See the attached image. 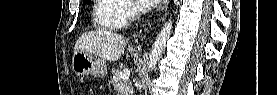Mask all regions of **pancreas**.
I'll list each match as a JSON object with an SVG mask.
<instances>
[{
	"mask_svg": "<svg viewBox=\"0 0 277 95\" xmlns=\"http://www.w3.org/2000/svg\"><path fill=\"white\" fill-rule=\"evenodd\" d=\"M111 82L117 95H132L133 87L129 79H120L119 71L112 69Z\"/></svg>",
	"mask_w": 277,
	"mask_h": 95,
	"instance_id": "cf45deb5",
	"label": "pancreas"
}]
</instances>
